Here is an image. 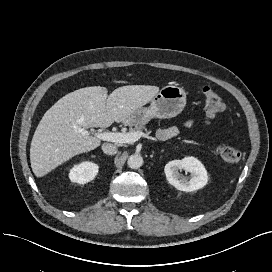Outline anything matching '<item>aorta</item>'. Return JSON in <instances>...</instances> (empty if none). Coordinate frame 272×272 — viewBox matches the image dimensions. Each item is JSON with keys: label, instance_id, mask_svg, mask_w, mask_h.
Returning a JSON list of instances; mask_svg holds the SVG:
<instances>
[{"label": "aorta", "instance_id": "1", "mask_svg": "<svg viewBox=\"0 0 272 272\" xmlns=\"http://www.w3.org/2000/svg\"><path fill=\"white\" fill-rule=\"evenodd\" d=\"M128 167L138 169L143 165V158L140 154H132L127 161Z\"/></svg>", "mask_w": 272, "mask_h": 272}]
</instances>
